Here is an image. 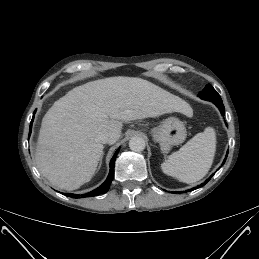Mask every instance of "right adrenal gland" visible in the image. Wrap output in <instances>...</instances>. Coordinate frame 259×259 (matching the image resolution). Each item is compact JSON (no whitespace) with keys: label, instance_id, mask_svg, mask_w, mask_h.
Masks as SVG:
<instances>
[{"label":"right adrenal gland","instance_id":"obj_1","mask_svg":"<svg viewBox=\"0 0 259 259\" xmlns=\"http://www.w3.org/2000/svg\"><path fill=\"white\" fill-rule=\"evenodd\" d=\"M101 162H102V157H101V160H100V164H99V166L101 165Z\"/></svg>","mask_w":259,"mask_h":259}]
</instances>
